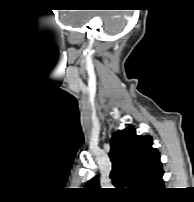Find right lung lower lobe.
<instances>
[{"label": "right lung lower lobe", "instance_id": "1", "mask_svg": "<svg viewBox=\"0 0 194 202\" xmlns=\"http://www.w3.org/2000/svg\"><path fill=\"white\" fill-rule=\"evenodd\" d=\"M163 189H164V187L161 188L160 190L154 192L153 195H158V194L162 193Z\"/></svg>", "mask_w": 194, "mask_h": 202}]
</instances>
